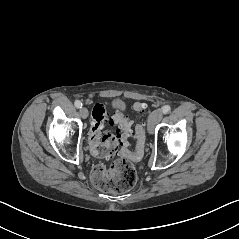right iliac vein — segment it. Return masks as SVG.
<instances>
[{
	"label": "right iliac vein",
	"mask_w": 239,
	"mask_h": 239,
	"mask_svg": "<svg viewBox=\"0 0 239 239\" xmlns=\"http://www.w3.org/2000/svg\"><path fill=\"white\" fill-rule=\"evenodd\" d=\"M79 112H80V116H81L83 119H86V118H87V116H88V110H87L85 107L81 108Z\"/></svg>",
	"instance_id": "right-iliac-vein-1"
}]
</instances>
